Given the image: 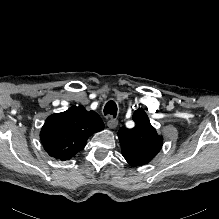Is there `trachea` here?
<instances>
[{"mask_svg": "<svg viewBox=\"0 0 219 219\" xmlns=\"http://www.w3.org/2000/svg\"><path fill=\"white\" fill-rule=\"evenodd\" d=\"M104 114L105 115H111L113 118L117 115V105L114 101L110 100L106 103L104 107Z\"/></svg>", "mask_w": 219, "mask_h": 219, "instance_id": "obj_1", "label": "trachea"}]
</instances>
